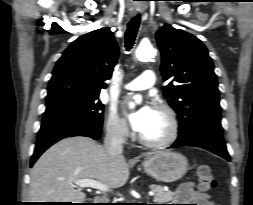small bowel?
Segmentation results:
<instances>
[{"instance_id":"small-bowel-1","label":"small bowel","mask_w":253,"mask_h":205,"mask_svg":"<svg viewBox=\"0 0 253 205\" xmlns=\"http://www.w3.org/2000/svg\"><path fill=\"white\" fill-rule=\"evenodd\" d=\"M176 198L183 203H194L184 205H215L207 194L196 191L191 183L183 185L177 191Z\"/></svg>"}]
</instances>
